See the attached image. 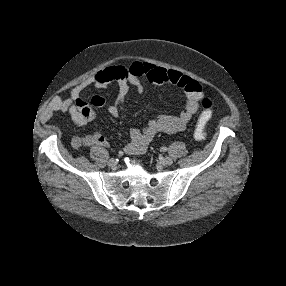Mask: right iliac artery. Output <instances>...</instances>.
<instances>
[{
  "mask_svg": "<svg viewBox=\"0 0 286 286\" xmlns=\"http://www.w3.org/2000/svg\"><path fill=\"white\" fill-rule=\"evenodd\" d=\"M123 154H124V152H123V150H118V152H117V157L118 158H122L123 157Z\"/></svg>",
  "mask_w": 286,
  "mask_h": 286,
  "instance_id": "82829eb1",
  "label": "right iliac artery"
}]
</instances>
